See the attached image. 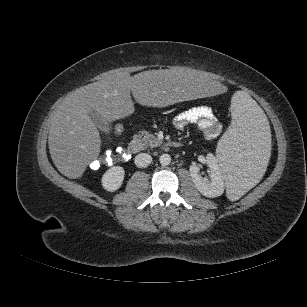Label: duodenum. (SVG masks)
I'll return each instance as SVG.
<instances>
[{
    "label": "duodenum",
    "instance_id": "duodenum-1",
    "mask_svg": "<svg viewBox=\"0 0 307 307\" xmlns=\"http://www.w3.org/2000/svg\"><path fill=\"white\" fill-rule=\"evenodd\" d=\"M167 146L173 147V148H179L181 144L177 141H169L167 143ZM140 143L138 141H131L125 150L128 152V155H133L139 152L140 150Z\"/></svg>",
    "mask_w": 307,
    "mask_h": 307
}]
</instances>
